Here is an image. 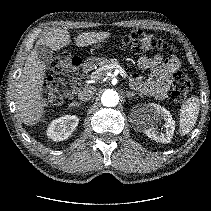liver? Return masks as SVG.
Instances as JSON below:
<instances>
[{
  "label": "liver",
  "instance_id": "1",
  "mask_svg": "<svg viewBox=\"0 0 211 211\" xmlns=\"http://www.w3.org/2000/svg\"><path fill=\"white\" fill-rule=\"evenodd\" d=\"M108 32H84L76 38L78 47H86L109 37ZM71 43L69 32L65 29H53L45 32L36 42L35 48L28 55L23 72L11 90L19 118L26 125H34L45 113L46 104L43 98V85L46 66L40 61L36 48L48 46L53 51Z\"/></svg>",
  "mask_w": 211,
  "mask_h": 211
}]
</instances>
